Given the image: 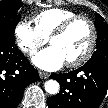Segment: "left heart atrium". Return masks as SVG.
<instances>
[{
	"label": "left heart atrium",
	"instance_id": "obj_1",
	"mask_svg": "<svg viewBox=\"0 0 108 108\" xmlns=\"http://www.w3.org/2000/svg\"><path fill=\"white\" fill-rule=\"evenodd\" d=\"M66 62L61 51L51 45L33 57V63L43 70H57Z\"/></svg>",
	"mask_w": 108,
	"mask_h": 108
}]
</instances>
